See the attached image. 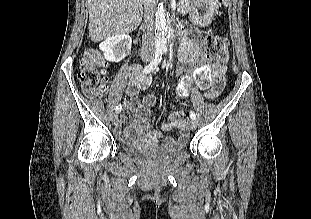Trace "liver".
<instances>
[{
  "mask_svg": "<svg viewBox=\"0 0 311 219\" xmlns=\"http://www.w3.org/2000/svg\"><path fill=\"white\" fill-rule=\"evenodd\" d=\"M143 0H87L93 42L130 33L140 24Z\"/></svg>",
  "mask_w": 311,
  "mask_h": 219,
  "instance_id": "1",
  "label": "liver"
}]
</instances>
